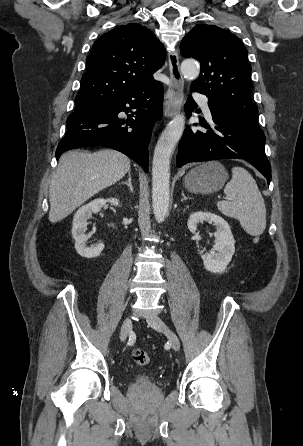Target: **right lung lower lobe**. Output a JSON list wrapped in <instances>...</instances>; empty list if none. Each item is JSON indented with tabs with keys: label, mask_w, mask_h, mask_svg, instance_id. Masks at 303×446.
Instances as JSON below:
<instances>
[{
	"label": "right lung lower lobe",
	"mask_w": 303,
	"mask_h": 446,
	"mask_svg": "<svg viewBox=\"0 0 303 446\" xmlns=\"http://www.w3.org/2000/svg\"><path fill=\"white\" fill-rule=\"evenodd\" d=\"M161 83L106 102L75 109L67 121L66 135L56 150L58 160L64 152L85 146L118 150L148 172V144L154 123L162 116ZM131 109H135L133 112ZM124 111L132 114L122 119Z\"/></svg>",
	"instance_id": "obj_1"
}]
</instances>
